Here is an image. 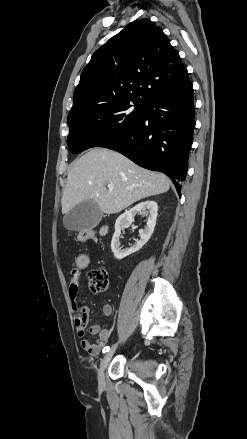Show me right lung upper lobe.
Returning a JSON list of instances; mask_svg holds the SVG:
<instances>
[{"label": "right lung upper lobe", "instance_id": "right-lung-upper-lobe-1", "mask_svg": "<svg viewBox=\"0 0 247 439\" xmlns=\"http://www.w3.org/2000/svg\"><path fill=\"white\" fill-rule=\"evenodd\" d=\"M192 83L178 52L149 19L135 20L96 50L81 73L71 117L103 104H148Z\"/></svg>", "mask_w": 247, "mask_h": 439}]
</instances>
